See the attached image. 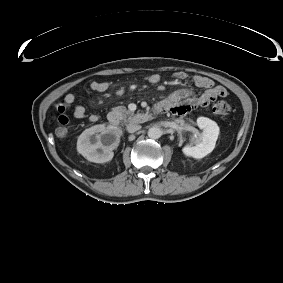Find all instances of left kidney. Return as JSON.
I'll return each instance as SVG.
<instances>
[{
	"instance_id": "obj_1",
	"label": "left kidney",
	"mask_w": 283,
	"mask_h": 283,
	"mask_svg": "<svg viewBox=\"0 0 283 283\" xmlns=\"http://www.w3.org/2000/svg\"><path fill=\"white\" fill-rule=\"evenodd\" d=\"M197 125L203 132L194 135L192 143L184 146L182 152L186 156L200 159L214 150L220 129L215 121L207 117H198Z\"/></svg>"
}]
</instances>
